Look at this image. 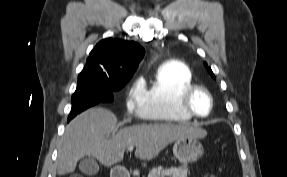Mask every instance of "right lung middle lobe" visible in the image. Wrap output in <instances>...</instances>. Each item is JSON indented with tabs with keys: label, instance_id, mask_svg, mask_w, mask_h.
<instances>
[{
	"label": "right lung middle lobe",
	"instance_id": "right-lung-middle-lobe-1",
	"mask_svg": "<svg viewBox=\"0 0 287 177\" xmlns=\"http://www.w3.org/2000/svg\"><path fill=\"white\" fill-rule=\"evenodd\" d=\"M128 81L123 80L107 86L99 83L91 74L81 72L78 75L77 89L72 95L71 102L72 104L85 101L112 102L113 92L122 89Z\"/></svg>",
	"mask_w": 287,
	"mask_h": 177
}]
</instances>
